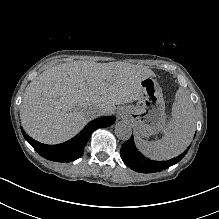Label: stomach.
<instances>
[{"label":"stomach","mask_w":219,"mask_h":219,"mask_svg":"<svg viewBox=\"0 0 219 219\" xmlns=\"http://www.w3.org/2000/svg\"><path fill=\"white\" fill-rule=\"evenodd\" d=\"M121 114L130 120L140 137H149L161 131L166 123L165 102L158 82L147 77L141 82V94L136 105L124 106Z\"/></svg>","instance_id":"0dacf381"}]
</instances>
